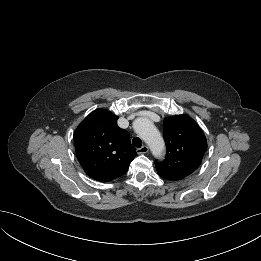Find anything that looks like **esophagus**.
<instances>
[{"instance_id": "obj_1", "label": "esophagus", "mask_w": 261, "mask_h": 261, "mask_svg": "<svg viewBox=\"0 0 261 261\" xmlns=\"http://www.w3.org/2000/svg\"><path fill=\"white\" fill-rule=\"evenodd\" d=\"M149 150L147 145H143L141 148H138L136 151L138 154H145Z\"/></svg>"}]
</instances>
